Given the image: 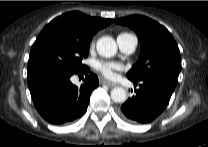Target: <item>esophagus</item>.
Returning <instances> with one entry per match:
<instances>
[{
	"mask_svg": "<svg viewBox=\"0 0 208 147\" xmlns=\"http://www.w3.org/2000/svg\"><path fill=\"white\" fill-rule=\"evenodd\" d=\"M100 82H101L102 84L108 85L109 87H116V86H117L116 83L110 82V81L105 80V79H101Z\"/></svg>",
	"mask_w": 208,
	"mask_h": 147,
	"instance_id": "obj_1",
	"label": "esophagus"
}]
</instances>
